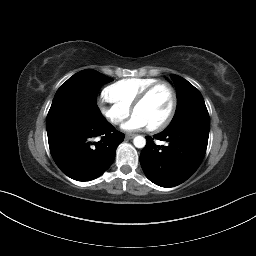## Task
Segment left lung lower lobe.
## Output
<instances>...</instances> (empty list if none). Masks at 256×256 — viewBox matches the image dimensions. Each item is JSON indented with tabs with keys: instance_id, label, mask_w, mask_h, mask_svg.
<instances>
[{
	"instance_id": "left-lung-lower-lobe-1",
	"label": "left lung lower lobe",
	"mask_w": 256,
	"mask_h": 256,
	"mask_svg": "<svg viewBox=\"0 0 256 256\" xmlns=\"http://www.w3.org/2000/svg\"><path fill=\"white\" fill-rule=\"evenodd\" d=\"M209 130L183 125L162 131L155 139L167 141L158 146L147 136L140 154V164L150 181L161 187H174L186 181L200 166L208 144Z\"/></svg>"
}]
</instances>
